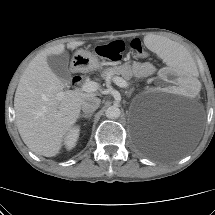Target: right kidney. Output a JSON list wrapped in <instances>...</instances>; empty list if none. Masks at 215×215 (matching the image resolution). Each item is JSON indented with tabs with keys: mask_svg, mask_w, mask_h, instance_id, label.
Listing matches in <instances>:
<instances>
[{
	"mask_svg": "<svg viewBox=\"0 0 215 215\" xmlns=\"http://www.w3.org/2000/svg\"><path fill=\"white\" fill-rule=\"evenodd\" d=\"M80 128L78 126L73 127L64 139V144L68 150L72 149L78 140Z\"/></svg>",
	"mask_w": 215,
	"mask_h": 215,
	"instance_id": "right-kidney-1",
	"label": "right kidney"
}]
</instances>
